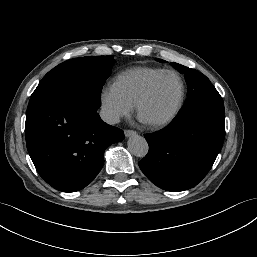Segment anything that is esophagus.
I'll use <instances>...</instances> for the list:
<instances>
[{"mask_svg":"<svg viewBox=\"0 0 257 257\" xmlns=\"http://www.w3.org/2000/svg\"><path fill=\"white\" fill-rule=\"evenodd\" d=\"M137 133H136V131H134V130H125L124 131V135H125V137H130V136H135Z\"/></svg>","mask_w":257,"mask_h":257,"instance_id":"obj_1","label":"esophagus"}]
</instances>
